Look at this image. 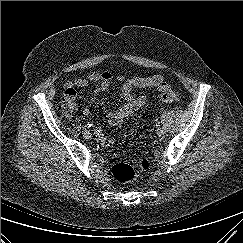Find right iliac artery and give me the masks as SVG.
<instances>
[{
    "instance_id": "right-iliac-artery-1",
    "label": "right iliac artery",
    "mask_w": 243,
    "mask_h": 243,
    "mask_svg": "<svg viewBox=\"0 0 243 243\" xmlns=\"http://www.w3.org/2000/svg\"><path fill=\"white\" fill-rule=\"evenodd\" d=\"M85 127L90 128L91 127V124H87Z\"/></svg>"
}]
</instances>
